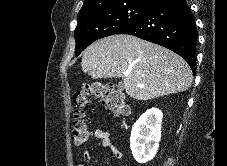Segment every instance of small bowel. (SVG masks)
<instances>
[{
	"label": "small bowel",
	"mask_w": 227,
	"mask_h": 166,
	"mask_svg": "<svg viewBox=\"0 0 227 166\" xmlns=\"http://www.w3.org/2000/svg\"><path fill=\"white\" fill-rule=\"evenodd\" d=\"M94 134L100 140L101 146L110 149L117 160L123 158V152L113 144L111 134L108 131L98 128ZM77 166H92L91 154L88 151L83 152L82 159Z\"/></svg>",
	"instance_id": "c3829d8e"
}]
</instances>
